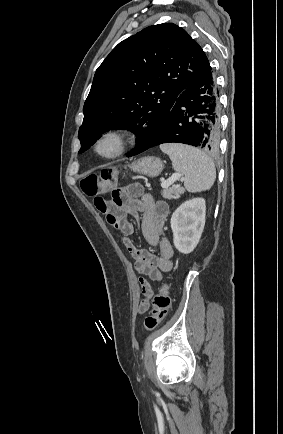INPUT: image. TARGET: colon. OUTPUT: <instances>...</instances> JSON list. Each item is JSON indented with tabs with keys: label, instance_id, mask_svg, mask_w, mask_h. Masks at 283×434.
Wrapping results in <instances>:
<instances>
[{
	"label": "colon",
	"instance_id": "colon-1",
	"mask_svg": "<svg viewBox=\"0 0 283 434\" xmlns=\"http://www.w3.org/2000/svg\"><path fill=\"white\" fill-rule=\"evenodd\" d=\"M117 180V171L113 168H106L97 174L84 176L80 181L83 193L90 197H97L99 194L111 190ZM170 307L169 285L163 282L152 299L151 313L144 320V327L147 331H153L166 317Z\"/></svg>",
	"mask_w": 283,
	"mask_h": 434
}]
</instances>
